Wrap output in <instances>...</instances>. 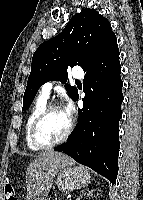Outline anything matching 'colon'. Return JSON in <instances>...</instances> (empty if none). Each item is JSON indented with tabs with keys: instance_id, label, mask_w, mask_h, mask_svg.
I'll return each instance as SVG.
<instances>
[{
	"instance_id": "5ec220e1",
	"label": "colon",
	"mask_w": 143,
	"mask_h": 200,
	"mask_svg": "<svg viewBox=\"0 0 143 200\" xmlns=\"http://www.w3.org/2000/svg\"><path fill=\"white\" fill-rule=\"evenodd\" d=\"M5 200H18L13 185L10 182L5 186Z\"/></svg>"
}]
</instances>
